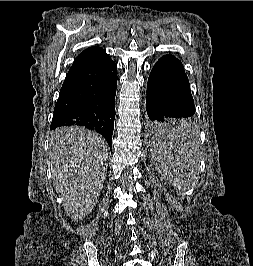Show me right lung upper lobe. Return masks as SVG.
Returning a JSON list of instances; mask_svg holds the SVG:
<instances>
[{
  "label": "right lung upper lobe",
  "mask_w": 253,
  "mask_h": 266,
  "mask_svg": "<svg viewBox=\"0 0 253 266\" xmlns=\"http://www.w3.org/2000/svg\"><path fill=\"white\" fill-rule=\"evenodd\" d=\"M97 49H99V47H90V48H87L86 50H84L82 53H80L78 55V57L76 58V60H79V59H82V58H85V57L89 56L92 52H94Z\"/></svg>",
  "instance_id": "right-lung-upper-lobe-1"
}]
</instances>
